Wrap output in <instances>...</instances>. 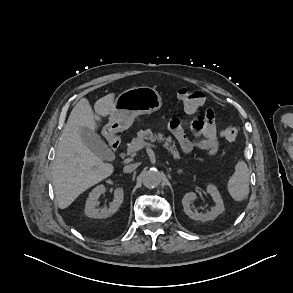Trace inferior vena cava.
<instances>
[{"label":"inferior vena cava","mask_w":293,"mask_h":293,"mask_svg":"<svg viewBox=\"0 0 293 293\" xmlns=\"http://www.w3.org/2000/svg\"><path fill=\"white\" fill-rule=\"evenodd\" d=\"M138 167V165L135 163V164H129V165H126L124 166L123 168V172L125 173H131L133 172L136 168Z\"/></svg>","instance_id":"obj_1"}]
</instances>
